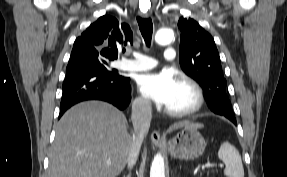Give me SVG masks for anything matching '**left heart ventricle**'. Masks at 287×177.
<instances>
[{"label": "left heart ventricle", "mask_w": 287, "mask_h": 177, "mask_svg": "<svg viewBox=\"0 0 287 177\" xmlns=\"http://www.w3.org/2000/svg\"><path fill=\"white\" fill-rule=\"evenodd\" d=\"M192 103L193 97L190 90L178 83L166 107L170 109H182L189 107Z\"/></svg>", "instance_id": "1"}]
</instances>
